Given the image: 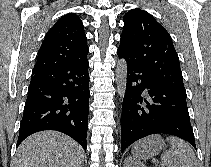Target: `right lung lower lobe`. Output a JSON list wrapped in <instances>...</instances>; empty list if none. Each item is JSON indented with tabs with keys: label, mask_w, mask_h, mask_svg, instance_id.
<instances>
[{
	"label": "right lung lower lobe",
	"mask_w": 211,
	"mask_h": 167,
	"mask_svg": "<svg viewBox=\"0 0 211 167\" xmlns=\"http://www.w3.org/2000/svg\"><path fill=\"white\" fill-rule=\"evenodd\" d=\"M87 57L33 75L20 123L17 146L29 135L56 130L87 148L89 112Z\"/></svg>",
	"instance_id": "right-lung-lower-lobe-1"
}]
</instances>
